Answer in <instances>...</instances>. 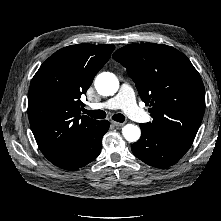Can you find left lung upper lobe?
Listing matches in <instances>:
<instances>
[{
    "instance_id": "5c2ea615",
    "label": "left lung upper lobe",
    "mask_w": 221,
    "mask_h": 221,
    "mask_svg": "<svg viewBox=\"0 0 221 221\" xmlns=\"http://www.w3.org/2000/svg\"><path fill=\"white\" fill-rule=\"evenodd\" d=\"M113 58L127 68L154 127L194 139L205 110V90L198 71L177 49L161 44H130Z\"/></svg>"
}]
</instances>
